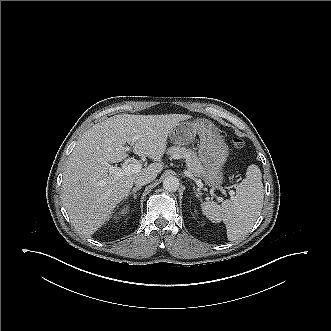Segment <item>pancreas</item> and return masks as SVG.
Instances as JSON below:
<instances>
[{
	"label": "pancreas",
	"mask_w": 331,
	"mask_h": 331,
	"mask_svg": "<svg viewBox=\"0 0 331 331\" xmlns=\"http://www.w3.org/2000/svg\"><path fill=\"white\" fill-rule=\"evenodd\" d=\"M168 152L172 157L177 158V155H180V158L185 159L188 169L193 173L194 176H202L204 168L194 152L180 146L170 147Z\"/></svg>",
	"instance_id": "1"
}]
</instances>
